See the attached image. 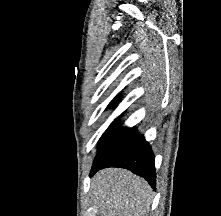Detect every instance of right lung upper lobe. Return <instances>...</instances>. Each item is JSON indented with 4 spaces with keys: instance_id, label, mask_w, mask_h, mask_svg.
Wrapping results in <instances>:
<instances>
[{
    "instance_id": "1",
    "label": "right lung upper lobe",
    "mask_w": 221,
    "mask_h": 216,
    "mask_svg": "<svg viewBox=\"0 0 221 216\" xmlns=\"http://www.w3.org/2000/svg\"><path fill=\"white\" fill-rule=\"evenodd\" d=\"M118 100H113L110 105H115L117 103Z\"/></svg>"
}]
</instances>
